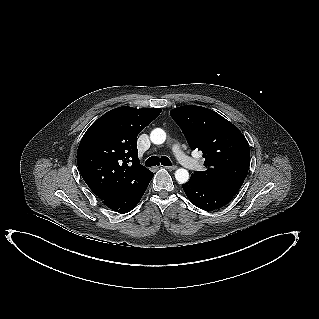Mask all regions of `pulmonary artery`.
I'll return each instance as SVG.
<instances>
[{
	"instance_id": "obj_1",
	"label": "pulmonary artery",
	"mask_w": 319,
	"mask_h": 319,
	"mask_svg": "<svg viewBox=\"0 0 319 319\" xmlns=\"http://www.w3.org/2000/svg\"><path fill=\"white\" fill-rule=\"evenodd\" d=\"M173 151L175 153L176 158L179 160V162L182 165H184L186 168L195 170L199 167L198 162L186 156L178 145H174Z\"/></svg>"
}]
</instances>
